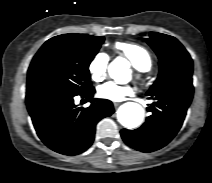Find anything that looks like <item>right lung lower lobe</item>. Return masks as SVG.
Returning a JSON list of instances; mask_svg holds the SVG:
<instances>
[{"label": "right lung lower lobe", "mask_w": 212, "mask_h": 183, "mask_svg": "<svg viewBox=\"0 0 212 183\" xmlns=\"http://www.w3.org/2000/svg\"><path fill=\"white\" fill-rule=\"evenodd\" d=\"M94 93L92 86L81 93L47 86L27 88V109L46 146L69 156L80 154L91 146L98 121L114 112L111 101L92 99ZM77 95L91 100V105L77 107L74 104Z\"/></svg>", "instance_id": "98d812e1"}]
</instances>
